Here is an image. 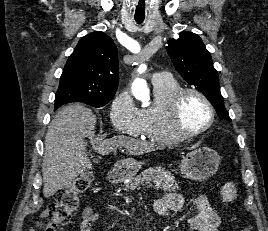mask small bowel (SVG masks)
<instances>
[{
	"label": "small bowel",
	"mask_w": 268,
	"mask_h": 231,
	"mask_svg": "<svg viewBox=\"0 0 268 231\" xmlns=\"http://www.w3.org/2000/svg\"><path fill=\"white\" fill-rule=\"evenodd\" d=\"M184 205H190L194 214L187 218V224L194 231H218L219 216L213 208L211 201L205 195L187 199L177 193H166L156 201L154 208L158 214H165L168 211H178ZM45 212L41 213V216ZM99 214L91 205L86 206L82 212V223L80 231H92L94 222ZM31 231H35L32 229Z\"/></svg>",
	"instance_id": "c3829d8e"
}]
</instances>
